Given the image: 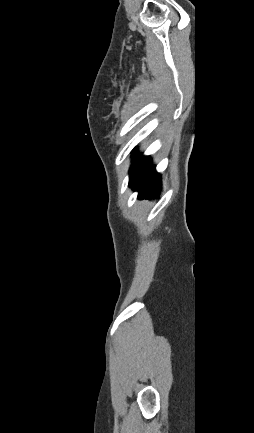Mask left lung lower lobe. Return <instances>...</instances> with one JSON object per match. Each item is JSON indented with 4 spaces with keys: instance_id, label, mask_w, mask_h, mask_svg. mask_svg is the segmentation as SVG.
<instances>
[{
    "instance_id": "1",
    "label": "left lung lower lobe",
    "mask_w": 254,
    "mask_h": 433,
    "mask_svg": "<svg viewBox=\"0 0 254 433\" xmlns=\"http://www.w3.org/2000/svg\"><path fill=\"white\" fill-rule=\"evenodd\" d=\"M129 185L138 191L139 198L155 197L161 188L160 175L156 173L149 157L135 155L130 172Z\"/></svg>"
}]
</instances>
